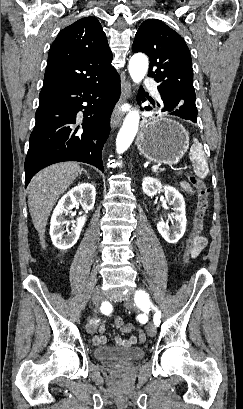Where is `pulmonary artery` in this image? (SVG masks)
<instances>
[{
    "label": "pulmonary artery",
    "instance_id": "1",
    "mask_svg": "<svg viewBox=\"0 0 243 409\" xmlns=\"http://www.w3.org/2000/svg\"><path fill=\"white\" fill-rule=\"evenodd\" d=\"M144 84L151 90L154 96H157V97L159 96V92L157 90L156 84L152 79L146 78L144 80Z\"/></svg>",
    "mask_w": 243,
    "mask_h": 409
}]
</instances>
